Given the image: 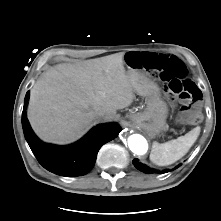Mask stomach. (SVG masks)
Masks as SVG:
<instances>
[{"label":"stomach","mask_w":221,"mask_h":221,"mask_svg":"<svg viewBox=\"0 0 221 221\" xmlns=\"http://www.w3.org/2000/svg\"><path fill=\"white\" fill-rule=\"evenodd\" d=\"M125 62L129 63L127 56ZM127 74L135 79L136 92L146 97L145 109L142 112L132 111L127 118L149 137L154 138L167 129L168 105L162 98L158 85L146 75L138 73L131 65H128Z\"/></svg>","instance_id":"1"}]
</instances>
